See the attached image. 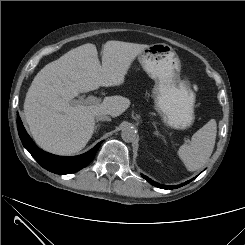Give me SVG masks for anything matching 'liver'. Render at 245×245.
<instances>
[{"label":"liver","mask_w":245,"mask_h":245,"mask_svg":"<svg viewBox=\"0 0 245 245\" xmlns=\"http://www.w3.org/2000/svg\"><path fill=\"white\" fill-rule=\"evenodd\" d=\"M147 47L107 41L101 65L96 46L87 43L43 67L33 79L24 102V115L37 145L58 155L81 151L93 135L96 114L117 117L130 101L109 96L101 104L83 105L73 99L100 86L123 84L132 62Z\"/></svg>","instance_id":"liver-1"}]
</instances>
